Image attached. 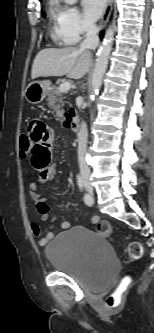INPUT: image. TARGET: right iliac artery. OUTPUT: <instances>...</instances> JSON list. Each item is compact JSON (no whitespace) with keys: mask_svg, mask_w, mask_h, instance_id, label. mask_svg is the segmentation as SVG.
Segmentation results:
<instances>
[{"mask_svg":"<svg viewBox=\"0 0 154 333\" xmlns=\"http://www.w3.org/2000/svg\"><path fill=\"white\" fill-rule=\"evenodd\" d=\"M77 183H78L79 188L82 190L83 183H82V179H81V177L79 175L77 176ZM84 202L88 206H92V204L94 202L93 197L91 195H89L88 193H85L84 194Z\"/></svg>","mask_w":154,"mask_h":333,"instance_id":"right-iliac-artery-1","label":"right iliac artery"}]
</instances>
